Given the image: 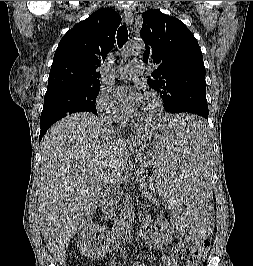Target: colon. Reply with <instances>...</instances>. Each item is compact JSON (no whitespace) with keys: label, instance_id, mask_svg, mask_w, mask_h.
Instances as JSON below:
<instances>
[{"label":"colon","instance_id":"1","mask_svg":"<svg viewBox=\"0 0 253 266\" xmlns=\"http://www.w3.org/2000/svg\"><path fill=\"white\" fill-rule=\"evenodd\" d=\"M210 247V242H201L200 248H191L190 259L185 266H198L204 260Z\"/></svg>","mask_w":253,"mask_h":266}]
</instances>
